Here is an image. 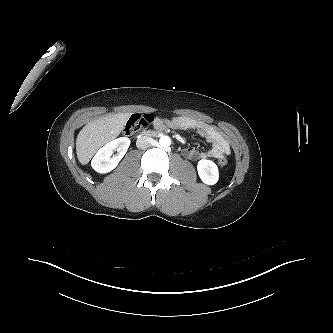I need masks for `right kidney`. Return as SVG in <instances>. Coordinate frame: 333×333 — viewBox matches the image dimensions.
I'll list each match as a JSON object with an SVG mask.
<instances>
[{"label":"right kidney","instance_id":"obj_1","mask_svg":"<svg viewBox=\"0 0 333 333\" xmlns=\"http://www.w3.org/2000/svg\"><path fill=\"white\" fill-rule=\"evenodd\" d=\"M130 145V139L127 137L117 138L103 146L95 154L91 161L92 168L98 173H108L112 171L121 161ZM117 150V154L113 152Z\"/></svg>","mask_w":333,"mask_h":333}]
</instances>
